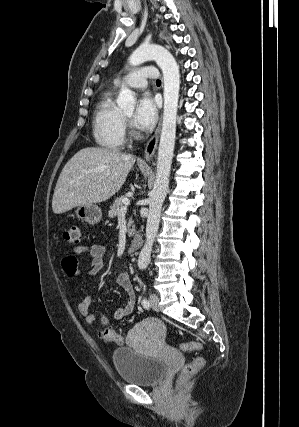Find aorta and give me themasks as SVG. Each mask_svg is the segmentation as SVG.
Returning <instances> with one entry per match:
<instances>
[{
    "mask_svg": "<svg viewBox=\"0 0 299 427\" xmlns=\"http://www.w3.org/2000/svg\"><path fill=\"white\" fill-rule=\"evenodd\" d=\"M149 60L156 61L163 72L164 111L158 148L156 179L149 199L146 241L138 258V267L140 269H145L150 262L152 247L159 228L162 205L168 192L176 138V116L180 89L179 67L174 57L164 47L141 45L129 57V64L138 66ZM135 103V94L130 89L122 87L117 99L119 108L126 112H133Z\"/></svg>",
    "mask_w": 299,
    "mask_h": 427,
    "instance_id": "obj_1",
    "label": "aorta"
}]
</instances>
